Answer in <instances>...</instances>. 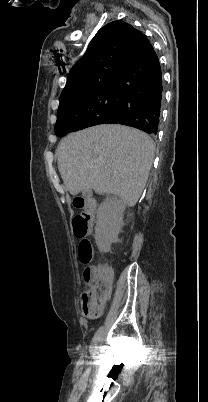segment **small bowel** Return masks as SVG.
<instances>
[{
	"label": "small bowel",
	"instance_id": "1",
	"mask_svg": "<svg viewBox=\"0 0 208 402\" xmlns=\"http://www.w3.org/2000/svg\"><path fill=\"white\" fill-rule=\"evenodd\" d=\"M85 273H87V270L85 271ZM96 296L102 298L105 301H108L112 295H96Z\"/></svg>",
	"mask_w": 208,
	"mask_h": 402
}]
</instances>
